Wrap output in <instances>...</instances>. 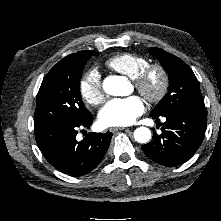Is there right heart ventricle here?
Listing matches in <instances>:
<instances>
[{
  "mask_svg": "<svg viewBox=\"0 0 221 221\" xmlns=\"http://www.w3.org/2000/svg\"><path fill=\"white\" fill-rule=\"evenodd\" d=\"M147 65L148 59L133 53H121L106 61V66L120 74L134 79Z\"/></svg>",
  "mask_w": 221,
  "mask_h": 221,
  "instance_id": "e07e8e85",
  "label": "right heart ventricle"
}]
</instances>
